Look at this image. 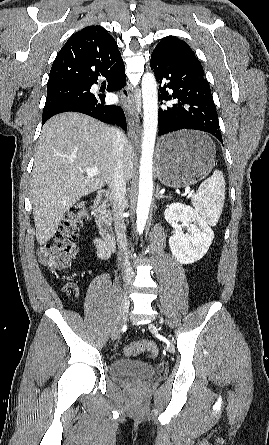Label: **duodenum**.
<instances>
[{
  "mask_svg": "<svg viewBox=\"0 0 269 445\" xmlns=\"http://www.w3.org/2000/svg\"><path fill=\"white\" fill-rule=\"evenodd\" d=\"M108 200L109 193L106 190H100L97 193L94 200V218L104 245L108 250L114 251L116 249V239L106 214Z\"/></svg>",
  "mask_w": 269,
  "mask_h": 445,
  "instance_id": "obj_1",
  "label": "duodenum"
}]
</instances>
